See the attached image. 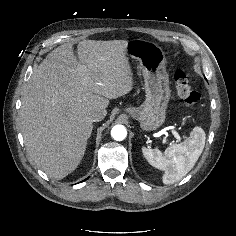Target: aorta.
I'll return each instance as SVG.
<instances>
[{"label": "aorta", "mask_w": 236, "mask_h": 236, "mask_svg": "<svg viewBox=\"0 0 236 236\" xmlns=\"http://www.w3.org/2000/svg\"><path fill=\"white\" fill-rule=\"evenodd\" d=\"M111 136L116 141H122L127 136V130L123 125H115L111 130Z\"/></svg>", "instance_id": "obj_1"}]
</instances>
